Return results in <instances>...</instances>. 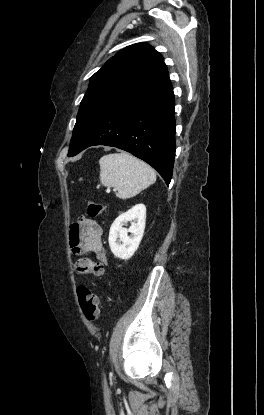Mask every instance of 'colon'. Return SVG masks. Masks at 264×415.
Here are the masks:
<instances>
[{
	"label": "colon",
	"mask_w": 264,
	"mask_h": 415,
	"mask_svg": "<svg viewBox=\"0 0 264 415\" xmlns=\"http://www.w3.org/2000/svg\"><path fill=\"white\" fill-rule=\"evenodd\" d=\"M103 208L100 203L90 201L87 206V216L89 218H96L101 215ZM76 268L84 272H92L98 274L101 271V266L96 264L92 259L82 257L76 263ZM78 304L83 315L90 321L94 322L99 316V299L96 293L91 289L81 286L77 290Z\"/></svg>",
	"instance_id": "obj_1"
}]
</instances>
